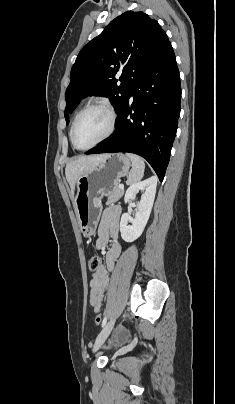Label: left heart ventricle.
<instances>
[{
  "instance_id": "left-heart-ventricle-1",
  "label": "left heart ventricle",
  "mask_w": 235,
  "mask_h": 404,
  "mask_svg": "<svg viewBox=\"0 0 235 404\" xmlns=\"http://www.w3.org/2000/svg\"><path fill=\"white\" fill-rule=\"evenodd\" d=\"M109 115L103 109H91L79 119L74 140L79 147H88L98 141L108 130Z\"/></svg>"
}]
</instances>
